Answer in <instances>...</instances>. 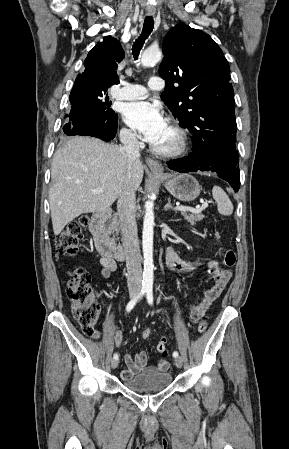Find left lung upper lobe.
Here are the masks:
<instances>
[{
	"mask_svg": "<svg viewBox=\"0 0 289 449\" xmlns=\"http://www.w3.org/2000/svg\"><path fill=\"white\" fill-rule=\"evenodd\" d=\"M162 50L159 75L166 87L161 98L192 133L193 144L210 143L219 135L235 143L234 91L220 47L201 30L178 24L165 36Z\"/></svg>",
	"mask_w": 289,
	"mask_h": 449,
	"instance_id": "5c2ea615",
	"label": "left lung upper lobe"
}]
</instances>
